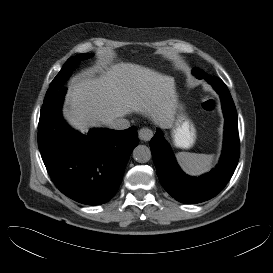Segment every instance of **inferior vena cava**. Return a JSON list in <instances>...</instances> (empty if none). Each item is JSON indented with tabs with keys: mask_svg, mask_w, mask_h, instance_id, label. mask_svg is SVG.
Instances as JSON below:
<instances>
[{
	"mask_svg": "<svg viewBox=\"0 0 273 273\" xmlns=\"http://www.w3.org/2000/svg\"><path fill=\"white\" fill-rule=\"evenodd\" d=\"M109 127L115 130H124L130 127V122L124 118H117L110 122Z\"/></svg>",
	"mask_w": 273,
	"mask_h": 273,
	"instance_id": "1",
	"label": "inferior vena cava"
}]
</instances>
